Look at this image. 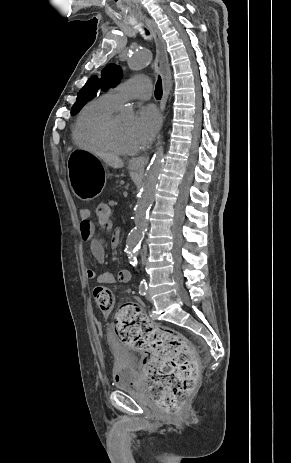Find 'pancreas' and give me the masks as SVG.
<instances>
[{
    "label": "pancreas",
    "instance_id": "cf45deb5",
    "mask_svg": "<svg viewBox=\"0 0 291 463\" xmlns=\"http://www.w3.org/2000/svg\"><path fill=\"white\" fill-rule=\"evenodd\" d=\"M123 184L124 182L122 180H117L115 183L110 184L109 190L116 196L121 195L123 192Z\"/></svg>",
    "mask_w": 291,
    "mask_h": 463
}]
</instances>
